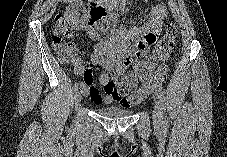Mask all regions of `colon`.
Returning a JSON list of instances; mask_svg holds the SVG:
<instances>
[{"instance_id":"1","label":"colon","mask_w":227,"mask_h":157,"mask_svg":"<svg viewBox=\"0 0 227 157\" xmlns=\"http://www.w3.org/2000/svg\"><path fill=\"white\" fill-rule=\"evenodd\" d=\"M178 34L177 26L169 23L165 33L156 41L153 51L140 63L137 72L146 76L159 62L166 60L174 51ZM73 32L62 16H57L54 25L53 48L58 60L63 64L73 63L76 60L75 45L65 40L71 38ZM155 41V40H154ZM92 73L88 74L89 78ZM168 74V67L161 63L157 70L132 94L124 97L131 91L130 80L127 75L113 77L115 88L123 94L122 105L130 107L141 103L151 93L162 86Z\"/></svg>"}]
</instances>
